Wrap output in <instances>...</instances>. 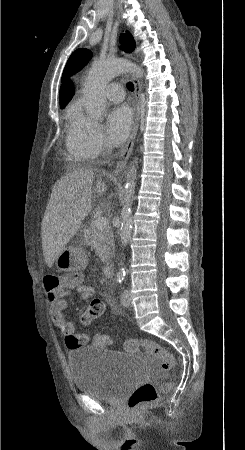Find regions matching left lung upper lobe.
<instances>
[{
    "mask_svg": "<svg viewBox=\"0 0 245 450\" xmlns=\"http://www.w3.org/2000/svg\"><path fill=\"white\" fill-rule=\"evenodd\" d=\"M120 43L125 51L131 52L135 48V41L132 35L126 31V33H122L120 35ZM92 53L87 49H78L76 50L68 59L67 64L64 68L62 81L73 75L74 73L80 71L91 59Z\"/></svg>",
    "mask_w": 245,
    "mask_h": 450,
    "instance_id": "1",
    "label": "left lung upper lobe"
}]
</instances>
